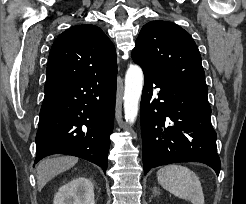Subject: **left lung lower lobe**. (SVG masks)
Returning a JSON list of instances; mask_svg holds the SVG:
<instances>
[{
    "label": "left lung lower lobe",
    "mask_w": 246,
    "mask_h": 204,
    "mask_svg": "<svg viewBox=\"0 0 246 204\" xmlns=\"http://www.w3.org/2000/svg\"><path fill=\"white\" fill-rule=\"evenodd\" d=\"M144 77L140 107L144 174L170 163L201 162L219 175L206 84L147 73Z\"/></svg>",
    "instance_id": "1"
}]
</instances>
